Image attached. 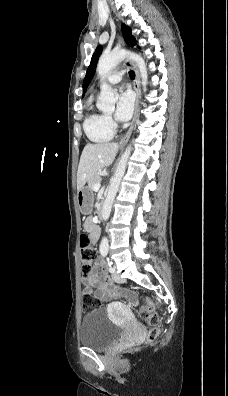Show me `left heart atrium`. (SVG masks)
Instances as JSON below:
<instances>
[{"mask_svg":"<svg viewBox=\"0 0 228 396\" xmlns=\"http://www.w3.org/2000/svg\"><path fill=\"white\" fill-rule=\"evenodd\" d=\"M134 109V95L130 90H121L118 97L115 118L119 122L128 121Z\"/></svg>","mask_w":228,"mask_h":396,"instance_id":"39dd6f15","label":"left heart atrium"}]
</instances>
